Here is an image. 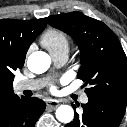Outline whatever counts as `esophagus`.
<instances>
[{"mask_svg":"<svg viewBox=\"0 0 127 127\" xmlns=\"http://www.w3.org/2000/svg\"><path fill=\"white\" fill-rule=\"evenodd\" d=\"M46 105H47L48 108L54 110L59 106V102L55 101V100H49V101L46 102Z\"/></svg>","mask_w":127,"mask_h":127,"instance_id":"obj_1","label":"esophagus"}]
</instances>
